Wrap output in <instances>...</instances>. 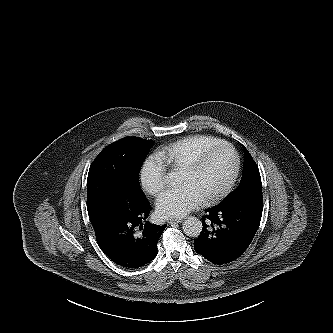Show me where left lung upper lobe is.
<instances>
[{
    "instance_id": "obj_1",
    "label": "left lung upper lobe",
    "mask_w": 333,
    "mask_h": 333,
    "mask_svg": "<svg viewBox=\"0 0 333 333\" xmlns=\"http://www.w3.org/2000/svg\"><path fill=\"white\" fill-rule=\"evenodd\" d=\"M255 192H262L259 169L248 150L244 147V165L239 186L228 195L221 204H227L240 197Z\"/></svg>"
}]
</instances>
